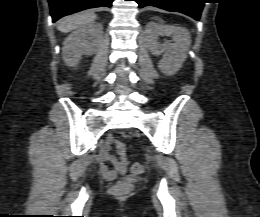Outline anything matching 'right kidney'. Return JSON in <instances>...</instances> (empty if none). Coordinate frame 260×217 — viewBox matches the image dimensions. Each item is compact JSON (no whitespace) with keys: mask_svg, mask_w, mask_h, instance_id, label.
Listing matches in <instances>:
<instances>
[{"mask_svg":"<svg viewBox=\"0 0 260 217\" xmlns=\"http://www.w3.org/2000/svg\"><path fill=\"white\" fill-rule=\"evenodd\" d=\"M102 25L90 22L81 25L65 40L63 47V60L67 66L76 67L82 54L96 53L102 39Z\"/></svg>","mask_w":260,"mask_h":217,"instance_id":"ca27d5eb","label":"right kidney"}]
</instances>
